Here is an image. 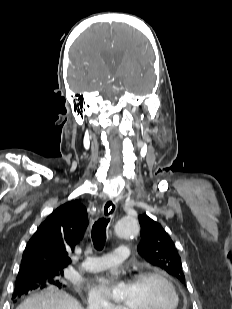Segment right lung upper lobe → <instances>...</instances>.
Returning <instances> with one entry per match:
<instances>
[{
    "mask_svg": "<svg viewBox=\"0 0 232 309\" xmlns=\"http://www.w3.org/2000/svg\"><path fill=\"white\" fill-rule=\"evenodd\" d=\"M87 225L86 208L78 200L58 207L40 224L27 243L20 270H63L71 263L67 251L73 250L83 238Z\"/></svg>",
    "mask_w": 232,
    "mask_h": 309,
    "instance_id": "right-lung-upper-lobe-1",
    "label": "right lung upper lobe"
}]
</instances>
